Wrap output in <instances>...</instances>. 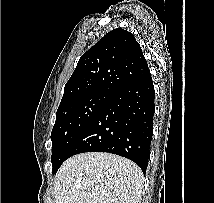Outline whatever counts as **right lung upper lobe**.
Returning a JSON list of instances; mask_svg holds the SVG:
<instances>
[{
  "instance_id": "1",
  "label": "right lung upper lobe",
  "mask_w": 214,
  "mask_h": 203,
  "mask_svg": "<svg viewBox=\"0 0 214 203\" xmlns=\"http://www.w3.org/2000/svg\"><path fill=\"white\" fill-rule=\"evenodd\" d=\"M150 74L134 35L122 28L108 32L85 52L64 88L60 105L92 94H113Z\"/></svg>"
}]
</instances>
